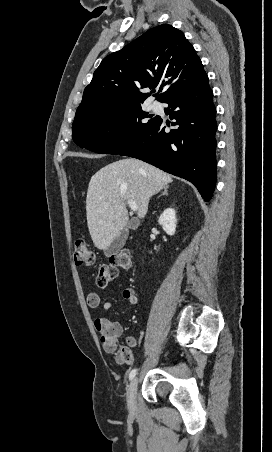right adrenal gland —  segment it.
Returning a JSON list of instances; mask_svg holds the SVG:
<instances>
[{
	"label": "right adrenal gland",
	"instance_id": "1",
	"mask_svg": "<svg viewBox=\"0 0 272 452\" xmlns=\"http://www.w3.org/2000/svg\"><path fill=\"white\" fill-rule=\"evenodd\" d=\"M168 187H169V186H165V187H164V191L161 193V195L158 196V198H159L160 196H162V195H166V196L168 195Z\"/></svg>",
	"mask_w": 272,
	"mask_h": 452
}]
</instances>
